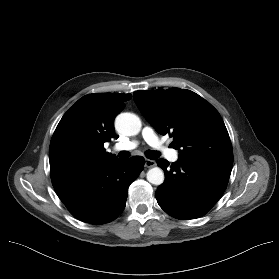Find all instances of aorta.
<instances>
[{
    "mask_svg": "<svg viewBox=\"0 0 279 279\" xmlns=\"http://www.w3.org/2000/svg\"><path fill=\"white\" fill-rule=\"evenodd\" d=\"M141 121L133 113H121L116 117V130L126 136L137 135L141 130ZM147 180L153 185H161L164 182V173L161 168L154 167L147 172Z\"/></svg>",
    "mask_w": 279,
    "mask_h": 279,
    "instance_id": "762f6f07",
    "label": "aorta"
}]
</instances>
